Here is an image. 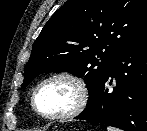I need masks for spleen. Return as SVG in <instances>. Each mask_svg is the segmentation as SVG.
<instances>
[{"instance_id":"3e777b00","label":"spleen","mask_w":147,"mask_h":131,"mask_svg":"<svg viewBox=\"0 0 147 131\" xmlns=\"http://www.w3.org/2000/svg\"><path fill=\"white\" fill-rule=\"evenodd\" d=\"M107 131H118V130L112 127H107Z\"/></svg>"}]
</instances>
